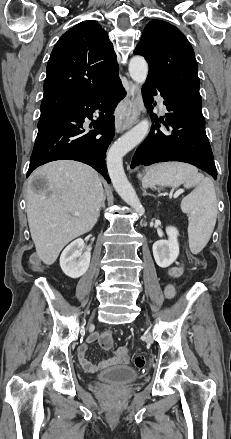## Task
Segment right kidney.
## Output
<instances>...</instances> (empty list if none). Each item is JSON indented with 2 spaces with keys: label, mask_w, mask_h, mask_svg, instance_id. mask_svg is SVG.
<instances>
[{
  "label": "right kidney",
  "mask_w": 231,
  "mask_h": 439,
  "mask_svg": "<svg viewBox=\"0 0 231 439\" xmlns=\"http://www.w3.org/2000/svg\"><path fill=\"white\" fill-rule=\"evenodd\" d=\"M85 246L83 239H76L70 243L60 256L62 271L70 278H79L89 268L91 249L82 254L81 249Z\"/></svg>",
  "instance_id": "1"
}]
</instances>
